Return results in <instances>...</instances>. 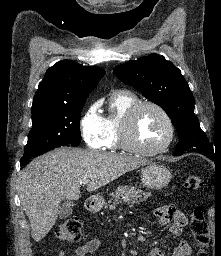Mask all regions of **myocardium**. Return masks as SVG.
Masks as SVG:
<instances>
[{"mask_svg": "<svg viewBox=\"0 0 221 256\" xmlns=\"http://www.w3.org/2000/svg\"><path fill=\"white\" fill-rule=\"evenodd\" d=\"M146 107L156 109L164 118L167 125V137L162 144L155 148H146L138 143L135 137V122L140 111ZM175 137V126L168 111L154 101H140L131 106L123 119L120 130L121 143L124 149L144 156H155L163 153L172 144Z\"/></svg>", "mask_w": 221, "mask_h": 256, "instance_id": "1", "label": "myocardium"}]
</instances>
